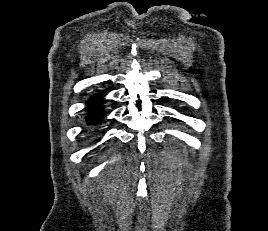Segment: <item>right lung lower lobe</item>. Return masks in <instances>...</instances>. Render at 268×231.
Wrapping results in <instances>:
<instances>
[{"label": "right lung lower lobe", "mask_w": 268, "mask_h": 231, "mask_svg": "<svg viewBox=\"0 0 268 231\" xmlns=\"http://www.w3.org/2000/svg\"><path fill=\"white\" fill-rule=\"evenodd\" d=\"M104 101L99 95L92 96L87 102L86 120L89 125L101 124L105 111L103 108Z\"/></svg>", "instance_id": "obj_1"}]
</instances>
